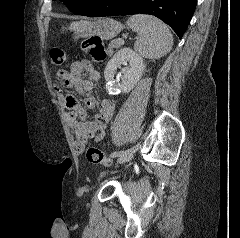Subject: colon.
Listing matches in <instances>:
<instances>
[{"label": "colon", "mask_w": 240, "mask_h": 238, "mask_svg": "<svg viewBox=\"0 0 240 238\" xmlns=\"http://www.w3.org/2000/svg\"><path fill=\"white\" fill-rule=\"evenodd\" d=\"M82 49L88 53L96 62H102L106 58V49L102 40L98 37H90L82 42ZM49 61L54 65H60L67 59V54L60 48H53L48 54ZM86 158L89 162L109 166L112 160L98 148L90 147L86 151Z\"/></svg>", "instance_id": "obj_1"}]
</instances>
